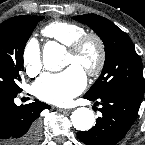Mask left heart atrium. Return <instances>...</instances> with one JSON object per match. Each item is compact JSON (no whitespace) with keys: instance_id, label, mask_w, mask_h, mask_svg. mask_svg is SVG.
Wrapping results in <instances>:
<instances>
[{"instance_id":"left-heart-atrium-1","label":"left heart atrium","mask_w":145,"mask_h":145,"mask_svg":"<svg viewBox=\"0 0 145 145\" xmlns=\"http://www.w3.org/2000/svg\"><path fill=\"white\" fill-rule=\"evenodd\" d=\"M86 85L84 71L71 65L59 73H46L33 85L35 95L46 102L65 105L78 95Z\"/></svg>"}]
</instances>
